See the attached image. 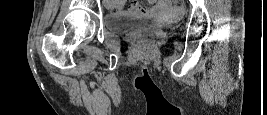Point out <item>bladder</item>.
Instances as JSON below:
<instances>
[{
    "mask_svg": "<svg viewBox=\"0 0 267 115\" xmlns=\"http://www.w3.org/2000/svg\"><path fill=\"white\" fill-rule=\"evenodd\" d=\"M155 19L153 15L130 13H109L105 15L106 28L114 33L134 32L142 29Z\"/></svg>",
    "mask_w": 267,
    "mask_h": 115,
    "instance_id": "31cf9c89",
    "label": "bladder"
}]
</instances>
